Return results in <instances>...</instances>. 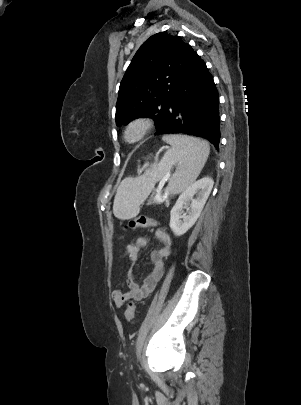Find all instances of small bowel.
<instances>
[{"instance_id": "c3829d8e", "label": "small bowel", "mask_w": 301, "mask_h": 405, "mask_svg": "<svg viewBox=\"0 0 301 405\" xmlns=\"http://www.w3.org/2000/svg\"><path fill=\"white\" fill-rule=\"evenodd\" d=\"M155 235L161 243V247L150 254L151 269L140 284L135 280L133 266L138 262L140 251L148 244L146 237H138L134 243L126 245L123 256L132 263L126 278V288L120 287L113 292V299L118 307H121L127 300L140 301L146 298L155 288L164 270V259L168 257L172 249L170 235L162 228L155 229Z\"/></svg>"}]
</instances>
